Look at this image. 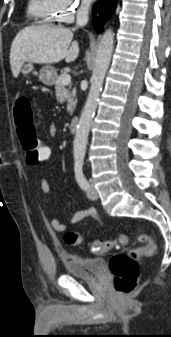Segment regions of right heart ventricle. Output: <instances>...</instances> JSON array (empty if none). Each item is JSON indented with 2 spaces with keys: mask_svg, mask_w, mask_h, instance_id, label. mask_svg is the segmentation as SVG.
Here are the masks:
<instances>
[{
  "mask_svg": "<svg viewBox=\"0 0 171 337\" xmlns=\"http://www.w3.org/2000/svg\"><path fill=\"white\" fill-rule=\"evenodd\" d=\"M28 13L41 23L57 21V12L51 4V0H29Z\"/></svg>",
  "mask_w": 171,
  "mask_h": 337,
  "instance_id": "1",
  "label": "right heart ventricle"
}]
</instances>
